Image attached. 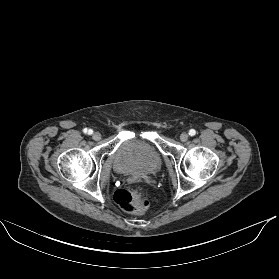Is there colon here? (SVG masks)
<instances>
[{
    "label": "colon",
    "mask_w": 279,
    "mask_h": 279,
    "mask_svg": "<svg viewBox=\"0 0 279 279\" xmlns=\"http://www.w3.org/2000/svg\"><path fill=\"white\" fill-rule=\"evenodd\" d=\"M114 199L118 206L127 213H142L149 206L148 200L142 194L127 188L117 190Z\"/></svg>",
    "instance_id": "obj_1"
}]
</instances>
